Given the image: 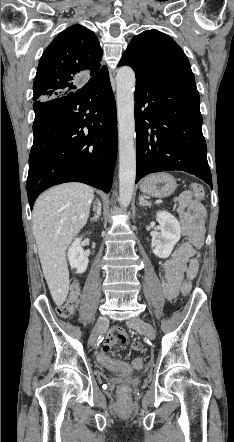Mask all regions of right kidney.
<instances>
[{"label": "right kidney", "instance_id": "right-kidney-1", "mask_svg": "<svg viewBox=\"0 0 234 442\" xmlns=\"http://www.w3.org/2000/svg\"><path fill=\"white\" fill-rule=\"evenodd\" d=\"M68 260L72 269L78 274L84 273L87 269L89 259L85 256L81 246V238H76L68 250Z\"/></svg>", "mask_w": 234, "mask_h": 442}]
</instances>
